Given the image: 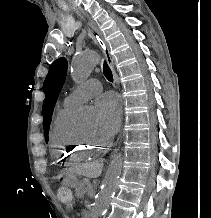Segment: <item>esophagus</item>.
Instances as JSON below:
<instances>
[{
	"instance_id": "34e87169",
	"label": "esophagus",
	"mask_w": 211,
	"mask_h": 218,
	"mask_svg": "<svg viewBox=\"0 0 211 218\" xmlns=\"http://www.w3.org/2000/svg\"><path fill=\"white\" fill-rule=\"evenodd\" d=\"M88 32L89 35L91 36V38L95 41V43L99 46V48H101V50L103 51L106 61L110 67V69L113 72V78H114V82L118 83V79H117V75L115 73V68H114V63H113V59L112 56L110 54L109 51V46L106 43V41L104 40V37L102 35V33L100 32V30L97 28V26L93 23H89L88 24ZM123 98H120V117H121V121L124 123L126 120L123 118ZM115 137H122V132H115ZM119 139H113V144H118ZM109 150H116L117 146L116 145H109L108 146Z\"/></svg>"
}]
</instances>
